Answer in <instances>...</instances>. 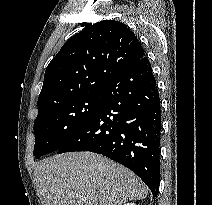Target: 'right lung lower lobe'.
I'll return each mask as SVG.
<instances>
[{
  "instance_id": "right-lung-lower-lobe-1",
  "label": "right lung lower lobe",
  "mask_w": 212,
  "mask_h": 205,
  "mask_svg": "<svg viewBox=\"0 0 212 205\" xmlns=\"http://www.w3.org/2000/svg\"><path fill=\"white\" fill-rule=\"evenodd\" d=\"M101 104L56 152L91 151L136 173L157 197L161 106L149 59L124 69L101 90Z\"/></svg>"
}]
</instances>
